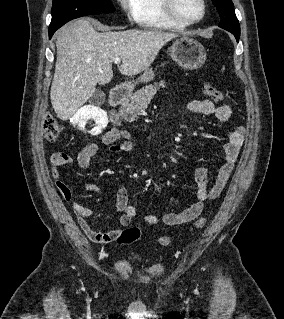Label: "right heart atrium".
I'll use <instances>...</instances> for the list:
<instances>
[{"mask_svg":"<svg viewBox=\"0 0 284 319\" xmlns=\"http://www.w3.org/2000/svg\"><path fill=\"white\" fill-rule=\"evenodd\" d=\"M137 1L138 0H116L118 6L129 21L136 20Z\"/></svg>","mask_w":284,"mask_h":319,"instance_id":"obj_1","label":"right heart atrium"}]
</instances>
